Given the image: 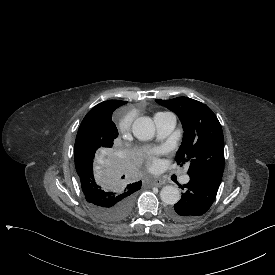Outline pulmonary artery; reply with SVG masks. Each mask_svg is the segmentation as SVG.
<instances>
[{
	"mask_svg": "<svg viewBox=\"0 0 275 275\" xmlns=\"http://www.w3.org/2000/svg\"><path fill=\"white\" fill-rule=\"evenodd\" d=\"M155 125L157 127L158 138H163L169 135L175 128L176 117L174 114L166 113H157L153 118ZM189 176L187 174L183 175L181 178V183L186 184L189 182Z\"/></svg>",
	"mask_w": 275,
	"mask_h": 275,
	"instance_id": "e3ab8cb5",
	"label": "pulmonary artery"
}]
</instances>
